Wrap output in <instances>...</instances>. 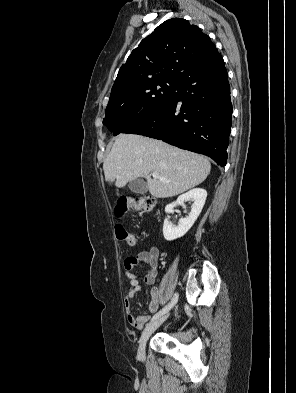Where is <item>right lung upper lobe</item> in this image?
<instances>
[{
  "label": "right lung upper lobe",
  "mask_w": 296,
  "mask_h": 393,
  "mask_svg": "<svg viewBox=\"0 0 296 393\" xmlns=\"http://www.w3.org/2000/svg\"><path fill=\"white\" fill-rule=\"evenodd\" d=\"M212 46L209 36L188 20H166L131 52L119 70L109 102L131 99L158 82H177Z\"/></svg>",
  "instance_id": "right-lung-upper-lobe-1"
}]
</instances>
